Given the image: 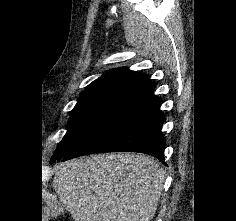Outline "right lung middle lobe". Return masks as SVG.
<instances>
[{
  "label": "right lung middle lobe",
  "instance_id": "1",
  "mask_svg": "<svg viewBox=\"0 0 236 221\" xmlns=\"http://www.w3.org/2000/svg\"><path fill=\"white\" fill-rule=\"evenodd\" d=\"M135 94L128 92L99 93L80 96L72 111L67 133L58 145L51 162L78 146L98 126L129 102Z\"/></svg>",
  "mask_w": 236,
  "mask_h": 221
}]
</instances>
